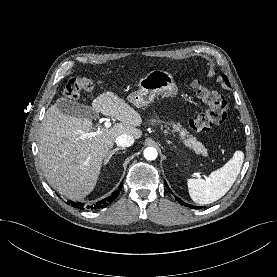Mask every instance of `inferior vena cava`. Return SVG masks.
Masks as SVG:
<instances>
[{"label":"inferior vena cava","mask_w":277,"mask_h":277,"mask_svg":"<svg viewBox=\"0 0 277 277\" xmlns=\"http://www.w3.org/2000/svg\"><path fill=\"white\" fill-rule=\"evenodd\" d=\"M117 146L125 148L133 145L134 138L127 134L119 135L115 140Z\"/></svg>","instance_id":"1"}]
</instances>
